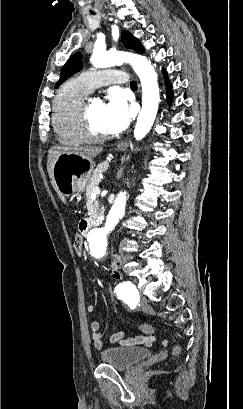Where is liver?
<instances>
[{"mask_svg":"<svg viewBox=\"0 0 243 409\" xmlns=\"http://www.w3.org/2000/svg\"><path fill=\"white\" fill-rule=\"evenodd\" d=\"M103 151V147L101 146H86V147H61V146H53L48 152V160H47V171L49 177L51 179V184L54 189L57 191L60 199L65 202V197L62 195L55 186L54 181V172H53V165L59 155L62 153H74L76 155L81 156L84 159L89 161H93L97 155H99Z\"/></svg>","mask_w":243,"mask_h":409,"instance_id":"1","label":"liver"}]
</instances>
